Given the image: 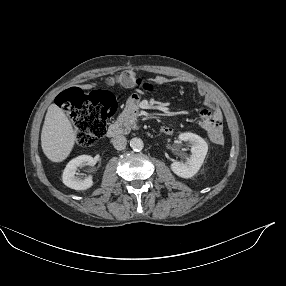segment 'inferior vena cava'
Masks as SVG:
<instances>
[{
    "instance_id": "602c4592",
    "label": "inferior vena cava",
    "mask_w": 286,
    "mask_h": 286,
    "mask_svg": "<svg viewBox=\"0 0 286 286\" xmlns=\"http://www.w3.org/2000/svg\"><path fill=\"white\" fill-rule=\"evenodd\" d=\"M112 143L115 149L123 150L126 147L127 139L123 135H118L112 139Z\"/></svg>"
}]
</instances>
